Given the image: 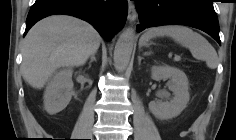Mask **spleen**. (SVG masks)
I'll use <instances>...</instances> for the list:
<instances>
[{"instance_id":"spleen-1","label":"spleen","mask_w":236,"mask_h":140,"mask_svg":"<svg viewBox=\"0 0 236 140\" xmlns=\"http://www.w3.org/2000/svg\"><path fill=\"white\" fill-rule=\"evenodd\" d=\"M163 36L171 37L175 42L188 48L193 57L205 61L209 68L217 67V53L212 45L202 35L185 26L171 25L151 28L142 35L140 44L143 45L152 38Z\"/></svg>"}]
</instances>
